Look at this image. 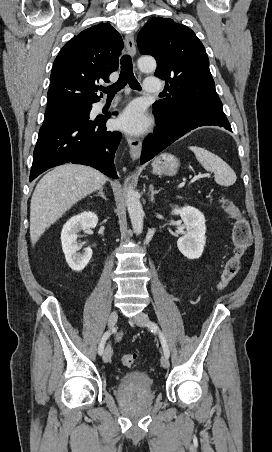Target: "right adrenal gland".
Instances as JSON below:
<instances>
[{
  "label": "right adrenal gland",
  "mask_w": 272,
  "mask_h": 452,
  "mask_svg": "<svg viewBox=\"0 0 272 452\" xmlns=\"http://www.w3.org/2000/svg\"><path fill=\"white\" fill-rule=\"evenodd\" d=\"M95 196H100V197H102L104 200H107V198H106V196H105V193H104V191H103V187L99 189L98 194L95 195Z\"/></svg>",
  "instance_id": "obj_1"
}]
</instances>
